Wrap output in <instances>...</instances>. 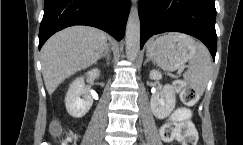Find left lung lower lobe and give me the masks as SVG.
Instances as JSON below:
<instances>
[{
    "label": "left lung lower lobe",
    "mask_w": 243,
    "mask_h": 145,
    "mask_svg": "<svg viewBox=\"0 0 243 145\" xmlns=\"http://www.w3.org/2000/svg\"><path fill=\"white\" fill-rule=\"evenodd\" d=\"M141 48L154 34L175 31L201 40L215 60L217 35L214 0H139Z\"/></svg>",
    "instance_id": "1"
}]
</instances>
